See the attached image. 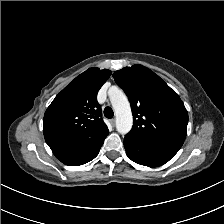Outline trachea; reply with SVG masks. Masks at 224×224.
Segmentation results:
<instances>
[{
	"label": "trachea",
	"mask_w": 224,
	"mask_h": 224,
	"mask_svg": "<svg viewBox=\"0 0 224 224\" xmlns=\"http://www.w3.org/2000/svg\"><path fill=\"white\" fill-rule=\"evenodd\" d=\"M104 115L106 118L111 119L114 116V112L110 107L104 109Z\"/></svg>",
	"instance_id": "3493384b"
}]
</instances>
